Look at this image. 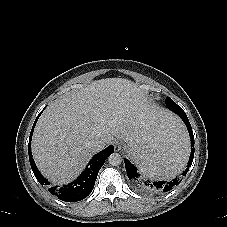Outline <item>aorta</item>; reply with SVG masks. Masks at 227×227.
<instances>
[{"label": "aorta", "mask_w": 227, "mask_h": 227, "mask_svg": "<svg viewBox=\"0 0 227 227\" xmlns=\"http://www.w3.org/2000/svg\"><path fill=\"white\" fill-rule=\"evenodd\" d=\"M109 164L119 166L122 162V157L118 153H112L108 158Z\"/></svg>", "instance_id": "aorta-1"}]
</instances>
